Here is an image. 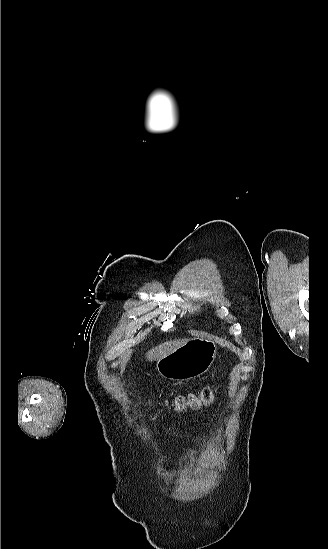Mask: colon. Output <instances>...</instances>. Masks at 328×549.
Wrapping results in <instances>:
<instances>
[{
    "label": "colon",
    "mask_w": 328,
    "mask_h": 549,
    "mask_svg": "<svg viewBox=\"0 0 328 549\" xmlns=\"http://www.w3.org/2000/svg\"><path fill=\"white\" fill-rule=\"evenodd\" d=\"M214 390L212 387H205L199 393L177 396L172 402V406L177 411L184 412L187 409L198 410L203 406H208L213 402Z\"/></svg>",
    "instance_id": "colon-1"
}]
</instances>
